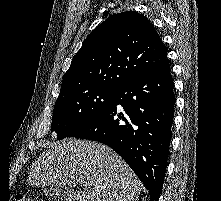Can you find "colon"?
I'll list each match as a JSON object with an SVG mask.
<instances>
[{
	"label": "colon",
	"instance_id": "5ec220e1",
	"mask_svg": "<svg viewBox=\"0 0 221 201\" xmlns=\"http://www.w3.org/2000/svg\"><path fill=\"white\" fill-rule=\"evenodd\" d=\"M13 201H28V200L24 195H18L13 199Z\"/></svg>",
	"mask_w": 221,
	"mask_h": 201
}]
</instances>
